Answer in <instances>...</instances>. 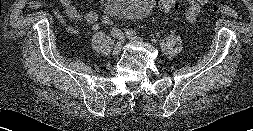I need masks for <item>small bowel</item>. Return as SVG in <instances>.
<instances>
[{
	"mask_svg": "<svg viewBox=\"0 0 253 131\" xmlns=\"http://www.w3.org/2000/svg\"><path fill=\"white\" fill-rule=\"evenodd\" d=\"M65 15L76 21H85L88 24L92 25V29L94 31L99 30V24L98 19L100 14L102 13L106 0H101L99 10H96L94 8H89L84 14L80 13L78 9L73 4V0H59ZM211 0H186L188 7L185 12V18L190 23H195L198 21V19L201 17L202 14V8L206 6L208 3H210ZM56 17L58 19H62V15L60 12L55 13ZM70 32L73 34H77L79 32L78 28L76 27H69L68 28Z\"/></svg>",
	"mask_w": 253,
	"mask_h": 131,
	"instance_id": "small-bowel-1",
	"label": "small bowel"
}]
</instances>
